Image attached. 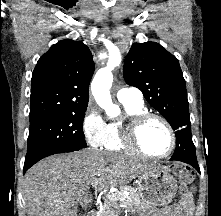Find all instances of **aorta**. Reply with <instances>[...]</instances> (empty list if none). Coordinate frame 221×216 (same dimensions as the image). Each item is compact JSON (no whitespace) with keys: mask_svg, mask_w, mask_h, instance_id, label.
<instances>
[{"mask_svg":"<svg viewBox=\"0 0 221 216\" xmlns=\"http://www.w3.org/2000/svg\"><path fill=\"white\" fill-rule=\"evenodd\" d=\"M121 63L120 52L117 48L110 51V56L106 67L97 71L91 83L92 95L96 103L105 110L106 114L113 118L120 114V109L113 104L110 88L113 82L112 70Z\"/></svg>","mask_w":221,"mask_h":216,"instance_id":"762f6f07","label":"aorta"}]
</instances>
